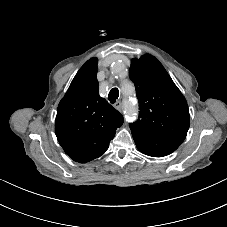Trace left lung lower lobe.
<instances>
[{
	"label": "left lung lower lobe",
	"instance_id": "obj_1",
	"mask_svg": "<svg viewBox=\"0 0 227 227\" xmlns=\"http://www.w3.org/2000/svg\"><path fill=\"white\" fill-rule=\"evenodd\" d=\"M131 131L138 150L148 156L163 157L179 147V144L145 128L132 127Z\"/></svg>",
	"mask_w": 227,
	"mask_h": 227
}]
</instances>
